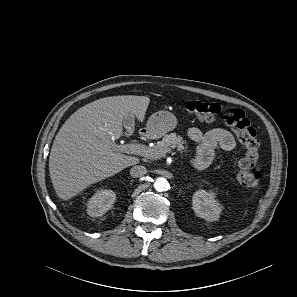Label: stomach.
<instances>
[{"mask_svg":"<svg viewBox=\"0 0 297 297\" xmlns=\"http://www.w3.org/2000/svg\"><path fill=\"white\" fill-rule=\"evenodd\" d=\"M177 125L176 117L169 111L161 110L154 113L146 124L147 134L151 138H160L172 131Z\"/></svg>","mask_w":297,"mask_h":297,"instance_id":"0dacf381","label":"stomach"}]
</instances>
